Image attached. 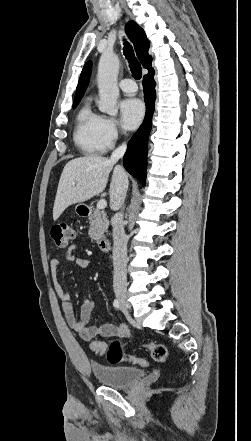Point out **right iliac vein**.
I'll use <instances>...</instances> for the list:
<instances>
[{"mask_svg": "<svg viewBox=\"0 0 251 441\" xmlns=\"http://www.w3.org/2000/svg\"><path fill=\"white\" fill-rule=\"evenodd\" d=\"M117 300L119 301L121 308L125 311H130L131 306L129 304V302L127 301V296L125 293H117L116 294Z\"/></svg>", "mask_w": 251, "mask_h": 441, "instance_id": "1", "label": "right iliac vein"}]
</instances>
